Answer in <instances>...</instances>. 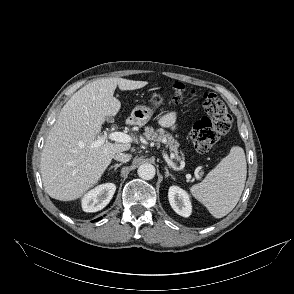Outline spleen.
<instances>
[{
    "label": "spleen",
    "mask_w": 294,
    "mask_h": 294,
    "mask_svg": "<svg viewBox=\"0 0 294 294\" xmlns=\"http://www.w3.org/2000/svg\"><path fill=\"white\" fill-rule=\"evenodd\" d=\"M246 174L244 150L233 146L230 153L201 183L193 185L190 191L215 218H222L238 203L245 186Z\"/></svg>",
    "instance_id": "spleen-1"
}]
</instances>
